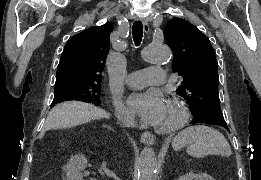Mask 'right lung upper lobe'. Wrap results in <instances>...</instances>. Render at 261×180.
Masks as SVG:
<instances>
[{"label": "right lung upper lobe", "mask_w": 261, "mask_h": 180, "mask_svg": "<svg viewBox=\"0 0 261 180\" xmlns=\"http://www.w3.org/2000/svg\"><path fill=\"white\" fill-rule=\"evenodd\" d=\"M112 30L113 26L106 23L82 31L68 40L57 67L56 84L101 82Z\"/></svg>", "instance_id": "obj_1"}]
</instances>
